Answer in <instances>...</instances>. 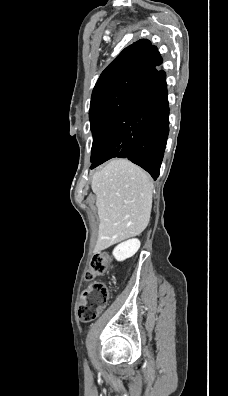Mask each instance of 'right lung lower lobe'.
Masks as SVG:
<instances>
[{
  "label": "right lung lower lobe",
  "mask_w": 228,
  "mask_h": 396,
  "mask_svg": "<svg viewBox=\"0 0 228 396\" xmlns=\"http://www.w3.org/2000/svg\"><path fill=\"white\" fill-rule=\"evenodd\" d=\"M161 63L158 52L144 61L146 75L111 126L91 169L114 157L128 158L158 178L169 133L165 72L157 69Z\"/></svg>",
  "instance_id": "obj_1"
}]
</instances>
